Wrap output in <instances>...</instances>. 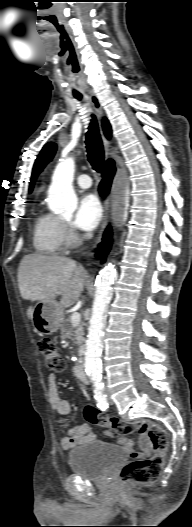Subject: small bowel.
I'll return each mask as SVG.
<instances>
[{
	"label": "small bowel",
	"mask_w": 192,
	"mask_h": 527,
	"mask_svg": "<svg viewBox=\"0 0 192 527\" xmlns=\"http://www.w3.org/2000/svg\"><path fill=\"white\" fill-rule=\"evenodd\" d=\"M48 383V399L51 405V408L59 413L60 415H68L71 411V403L69 399L63 398L60 396L57 382H56V376L54 374H50L47 379ZM134 431V430H133ZM140 432V444L142 447L141 452H137L133 448L132 441L127 438L124 434L119 438V445L124 447L129 451L128 457L131 460L136 459V457H141L144 455H147L151 453L152 446L150 442L148 441L146 437V432L143 430H138ZM132 432V431H131ZM130 432V433H131ZM104 434L108 437L112 436V432L110 430H106ZM129 434V433H128ZM95 440V435L92 432L91 428L87 424H81V425H75L70 427L66 434L63 435L60 439V445L64 450H68L80 445L87 444L89 442H92Z\"/></svg>",
	"instance_id": "c3829d8e"
}]
</instances>
